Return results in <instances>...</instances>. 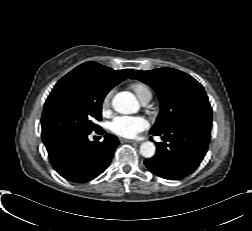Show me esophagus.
I'll use <instances>...</instances> for the list:
<instances>
[{
    "mask_svg": "<svg viewBox=\"0 0 252 231\" xmlns=\"http://www.w3.org/2000/svg\"><path fill=\"white\" fill-rule=\"evenodd\" d=\"M120 142L121 143H136L135 141L129 140V139H125V138H120Z\"/></svg>",
    "mask_w": 252,
    "mask_h": 231,
    "instance_id": "obj_1",
    "label": "esophagus"
}]
</instances>
